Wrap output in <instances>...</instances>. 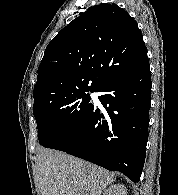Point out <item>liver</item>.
<instances>
[{
	"mask_svg": "<svg viewBox=\"0 0 178 195\" xmlns=\"http://www.w3.org/2000/svg\"><path fill=\"white\" fill-rule=\"evenodd\" d=\"M41 195H101L115 174L68 154L42 150L37 158Z\"/></svg>",
	"mask_w": 178,
	"mask_h": 195,
	"instance_id": "obj_1",
	"label": "liver"
}]
</instances>
